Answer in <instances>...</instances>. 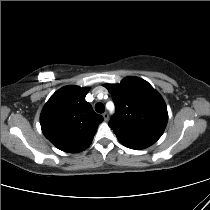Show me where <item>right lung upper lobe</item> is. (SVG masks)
<instances>
[{
    "label": "right lung upper lobe",
    "instance_id": "1",
    "mask_svg": "<svg viewBox=\"0 0 210 210\" xmlns=\"http://www.w3.org/2000/svg\"><path fill=\"white\" fill-rule=\"evenodd\" d=\"M88 88L66 86L56 91L40 115L42 132L58 149L77 153L92 142L103 121L85 101Z\"/></svg>",
    "mask_w": 210,
    "mask_h": 210
}]
</instances>
